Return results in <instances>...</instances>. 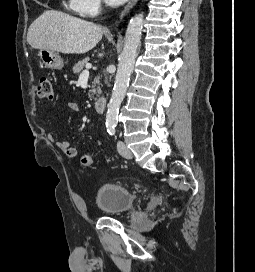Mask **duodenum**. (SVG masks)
Wrapping results in <instances>:
<instances>
[{
  "instance_id": "1",
  "label": "duodenum",
  "mask_w": 255,
  "mask_h": 272,
  "mask_svg": "<svg viewBox=\"0 0 255 272\" xmlns=\"http://www.w3.org/2000/svg\"><path fill=\"white\" fill-rule=\"evenodd\" d=\"M107 105V99L105 97L98 98L94 103L96 112L103 113Z\"/></svg>"
}]
</instances>
